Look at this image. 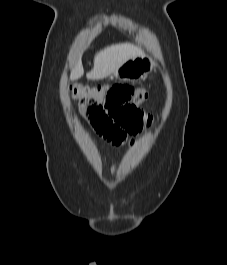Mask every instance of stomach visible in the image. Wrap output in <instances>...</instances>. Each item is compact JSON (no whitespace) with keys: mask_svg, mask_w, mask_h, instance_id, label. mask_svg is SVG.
I'll list each match as a JSON object with an SVG mask.
<instances>
[{"mask_svg":"<svg viewBox=\"0 0 227 265\" xmlns=\"http://www.w3.org/2000/svg\"><path fill=\"white\" fill-rule=\"evenodd\" d=\"M155 66V62L152 58L145 54H140L123 63L113 73V77L121 81H136L151 73Z\"/></svg>","mask_w":227,"mask_h":265,"instance_id":"obj_1","label":"stomach"}]
</instances>
